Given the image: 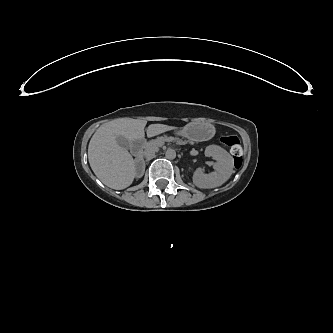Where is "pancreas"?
<instances>
[{"label": "pancreas", "mask_w": 333, "mask_h": 333, "mask_svg": "<svg viewBox=\"0 0 333 333\" xmlns=\"http://www.w3.org/2000/svg\"><path fill=\"white\" fill-rule=\"evenodd\" d=\"M156 146V144L155 143H151L150 145H148L147 146V149H146V151L147 152H150V151H152L153 150V148Z\"/></svg>", "instance_id": "obj_1"}]
</instances>
